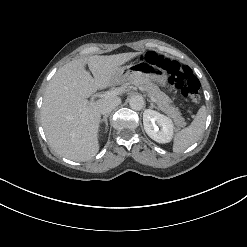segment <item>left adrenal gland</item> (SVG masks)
Wrapping results in <instances>:
<instances>
[{
  "label": "left adrenal gland",
  "instance_id": "1",
  "mask_svg": "<svg viewBox=\"0 0 247 247\" xmlns=\"http://www.w3.org/2000/svg\"><path fill=\"white\" fill-rule=\"evenodd\" d=\"M149 102H150V108H156L157 109V107L149 100Z\"/></svg>",
  "mask_w": 247,
  "mask_h": 247
}]
</instances>
